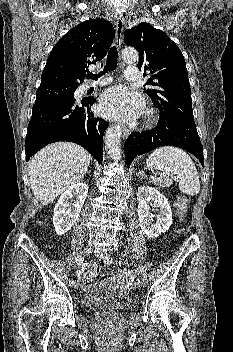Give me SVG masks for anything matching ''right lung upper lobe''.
<instances>
[{
  "label": "right lung upper lobe",
  "instance_id": "obj_1",
  "mask_svg": "<svg viewBox=\"0 0 233 352\" xmlns=\"http://www.w3.org/2000/svg\"><path fill=\"white\" fill-rule=\"evenodd\" d=\"M113 38V26L100 18L72 28L53 47L41 75L40 87H78L84 82L88 66L106 55Z\"/></svg>",
  "mask_w": 233,
  "mask_h": 352
}]
</instances>
